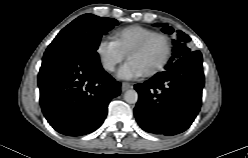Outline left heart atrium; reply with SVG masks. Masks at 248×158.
Wrapping results in <instances>:
<instances>
[{
    "label": "left heart atrium",
    "mask_w": 248,
    "mask_h": 158,
    "mask_svg": "<svg viewBox=\"0 0 248 158\" xmlns=\"http://www.w3.org/2000/svg\"><path fill=\"white\" fill-rule=\"evenodd\" d=\"M144 74L142 69L132 60H128L117 72L120 79L134 80Z\"/></svg>",
    "instance_id": "1"
}]
</instances>
